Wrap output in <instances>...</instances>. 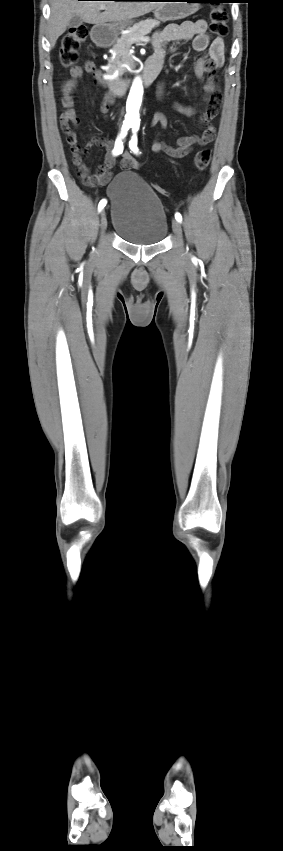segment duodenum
<instances>
[{"label": "duodenum", "mask_w": 283, "mask_h": 851, "mask_svg": "<svg viewBox=\"0 0 283 851\" xmlns=\"http://www.w3.org/2000/svg\"><path fill=\"white\" fill-rule=\"evenodd\" d=\"M94 39L96 43L100 46H107L110 43L109 36L107 33L98 29L94 34ZM162 68V61L156 58H151L148 60L146 68L143 74V80L146 85L151 84L156 77L158 76L160 70ZM111 87L109 89V93L114 96H122L125 94L128 81L122 78H115L110 81Z\"/></svg>", "instance_id": "obj_1"}]
</instances>
